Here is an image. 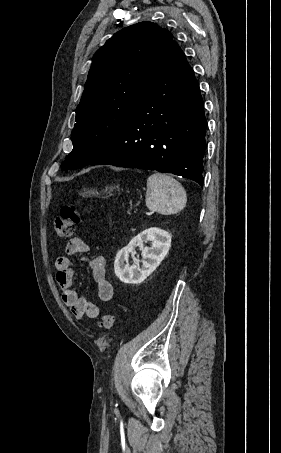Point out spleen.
Segmentation results:
<instances>
[{
  "instance_id": "1",
  "label": "spleen",
  "mask_w": 281,
  "mask_h": 453,
  "mask_svg": "<svg viewBox=\"0 0 281 453\" xmlns=\"http://www.w3.org/2000/svg\"><path fill=\"white\" fill-rule=\"evenodd\" d=\"M145 200L149 210L160 214H175L184 208L187 196L178 180L168 174L154 172L148 176Z\"/></svg>"
}]
</instances>
